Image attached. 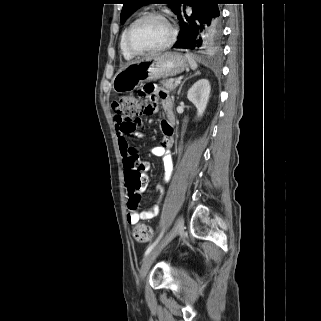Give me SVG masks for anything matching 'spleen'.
<instances>
[{
  "label": "spleen",
  "mask_w": 321,
  "mask_h": 321,
  "mask_svg": "<svg viewBox=\"0 0 321 321\" xmlns=\"http://www.w3.org/2000/svg\"><path fill=\"white\" fill-rule=\"evenodd\" d=\"M185 58L187 59L191 69H193V70L197 69L198 65H197V63L191 53H186Z\"/></svg>",
  "instance_id": "3e777b00"
}]
</instances>
